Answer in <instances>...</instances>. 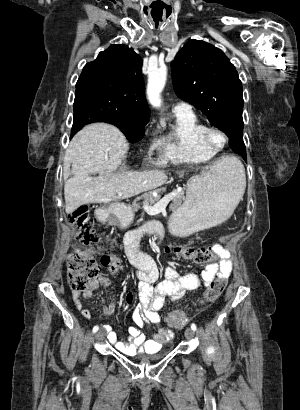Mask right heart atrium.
Segmentation results:
<instances>
[{"mask_svg": "<svg viewBox=\"0 0 300 410\" xmlns=\"http://www.w3.org/2000/svg\"><path fill=\"white\" fill-rule=\"evenodd\" d=\"M159 144H160L159 141L154 142L151 149L152 150L157 149L159 147Z\"/></svg>", "mask_w": 300, "mask_h": 410, "instance_id": "d8ad5b80", "label": "right heart atrium"}]
</instances>
